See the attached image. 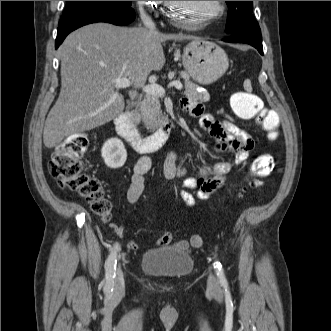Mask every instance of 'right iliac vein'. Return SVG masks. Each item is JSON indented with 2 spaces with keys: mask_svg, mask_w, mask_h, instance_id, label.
Returning a JSON list of instances; mask_svg holds the SVG:
<instances>
[{
  "mask_svg": "<svg viewBox=\"0 0 331 331\" xmlns=\"http://www.w3.org/2000/svg\"><path fill=\"white\" fill-rule=\"evenodd\" d=\"M124 291V276L120 265L116 270V277L114 283V293L117 295L122 294Z\"/></svg>",
  "mask_w": 331,
  "mask_h": 331,
  "instance_id": "obj_1",
  "label": "right iliac vein"
}]
</instances>
